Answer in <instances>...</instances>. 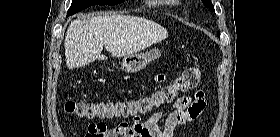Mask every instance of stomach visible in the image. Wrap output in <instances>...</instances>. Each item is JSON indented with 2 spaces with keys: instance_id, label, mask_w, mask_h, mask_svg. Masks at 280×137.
<instances>
[{
  "instance_id": "obj_1",
  "label": "stomach",
  "mask_w": 280,
  "mask_h": 137,
  "mask_svg": "<svg viewBox=\"0 0 280 137\" xmlns=\"http://www.w3.org/2000/svg\"><path fill=\"white\" fill-rule=\"evenodd\" d=\"M160 56L158 49H153L146 53L131 54L123 58L122 70L127 73H135L147 66L152 60L157 59Z\"/></svg>"
}]
</instances>
